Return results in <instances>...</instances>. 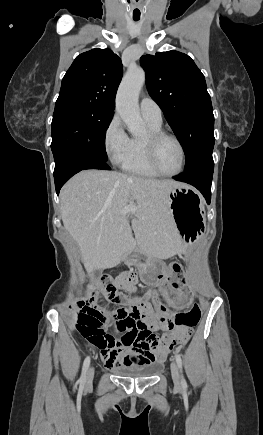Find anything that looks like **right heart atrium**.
Masks as SVG:
<instances>
[{
	"mask_svg": "<svg viewBox=\"0 0 263 435\" xmlns=\"http://www.w3.org/2000/svg\"><path fill=\"white\" fill-rule=\"evenodd\" d=\"M130 138L118 115L109 121L103 136V145L108 158L114 164H121L125 159Z\"/></svg>",
	"mask_w": 263,
	"mask_h": 435,
	"instance_id": "right-heart-atrium-1",
	"label": "right heart atrium"
}]
</instances>
